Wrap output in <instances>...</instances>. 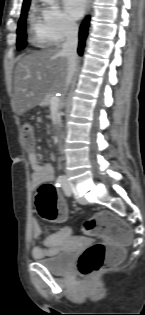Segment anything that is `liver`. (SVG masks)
Here are the masks:
<instances>
[{"instance_id": "1", "label": "liver", "mask_w": 145, "mask_h": 315, "mask_svg": "<svg viewBox=\"0 0 145 315\" xmlns=\"http://www.w3.org/2000/svg\"><path fill=\"white\" fill-rule=\"evenodd\" d=\"M67 68V58L59 47L22 55L14 75L13 111L22 115L40 104L47 94L62 92Z\"/></svg>"}]
</instances>
